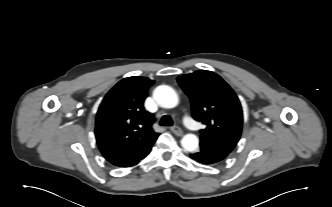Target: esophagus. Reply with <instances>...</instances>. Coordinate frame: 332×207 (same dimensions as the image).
I'll list each match as a JSON object with an SVG mask.
<instances>
[{"label": "esophagus", "mask_w": 332, "mask_h": 207, "mask_svg": "<svg viewBox=\"0 0 332 207\" xmlns=\"http://www.w3.org/2000/svg\"><path fill=\"white\" fill-rule=\"evenodd\" d=\"M171 131L177 136H182L183 135V131L179 126L175 125V126L171 127Z\"/></svg>", "instance_id": "1"}]
</instances>
